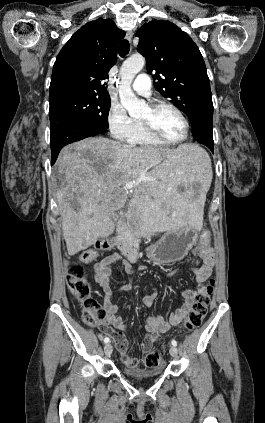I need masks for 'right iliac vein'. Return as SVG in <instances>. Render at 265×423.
Masks as SVG:
<instances>
[{"label": "right iliac vein", "instance_id": "1", "mask_svg": "<svg viewBox=\"0 0 265 423\" xmlns=\"http://www.w3.org/2000/svg\"><path fill=\"white\" fill-rule=\"evenodd\" d=\"M112 351H113V347H112V345H111V344H106V345L104 346V352H105V354H106L107 356H110V355H111V353H112Z\"/></svg>", "mask_w": 265, "mask_h": 423}]
</instances>
